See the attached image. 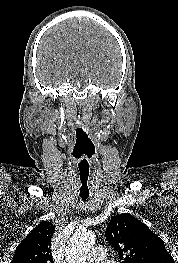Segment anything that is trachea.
Masks as SVG:
<instances>
[{"label":"trachea","instance_id":"obj_1","mask_svg":"<svg viewBox=\"0 0 178 263\" xmlns=\"http://www.w3.org/2000/svg\"><path fill=\"white\" fill-rule=\"evenodd\" d=\"M89 175H90L89 166H79L78 168V177H79L78 191H79V196L83 201H86L90 195Z\"/></svg>","mask_w":178,"mask_h":263}]
</instances>
